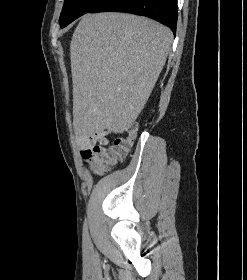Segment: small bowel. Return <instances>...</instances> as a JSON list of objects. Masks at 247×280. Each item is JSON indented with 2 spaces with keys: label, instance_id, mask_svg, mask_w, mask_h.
I'll return each mask as SVG.
<instances>
[{
  "label": "small bowel",
  "instance_id": "1",
  "mask_svg": "<svg viewBox=\"0 0 247 280\" xmlns=\"http://www.w3.org/2000/svg\"><path fill=\"white\" fill-rule=\"evenodd\" d=\"M110 132L104 128L94 131L79 129L77 133V143L80 146L83 156L87 155L95 146L108 144Z\"/></svg>",
  "mask_w": 247,
  "mask_h": 280
}]
</instances>
